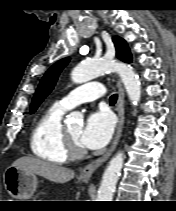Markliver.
Here are the masks:
<instances>
[{
  "mask_svg": "<svg viewBox=\"0 0 176 211\" xmlns=\"http://www.w3.org/2000/svg\"><path fill=\"white\" fill-rule=\"evenodd\" d=\"M11 166L61 184L74 178V171L71 169L29 156L15 160Z\"/></svg>",
  "mask_w": 176,
  "mask_h": 211,
  "instance_id": "1",
  "label": "liver"
}]
</instances>
